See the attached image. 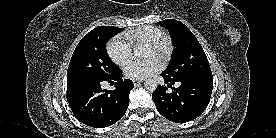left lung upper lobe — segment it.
<instances>
[{"instance_id": "5c2ea615", "label": "left lung upper lobe", "mask_w": 276, "mask_h": 138, "mask_svg": "<svg viewBox=\"0 0 276 138\" xmlns=\"http://www.w3.org/2000/svg\"><path fill=\"white\" fill-rule=\"evenodd\" d=\"M159 24L168 29L175 46L164 73L174 81L213 78L207 56L194 34L174 19H166Z\"/></svg>"}]
</instances>
